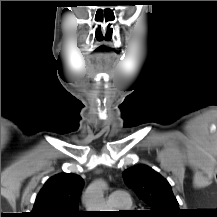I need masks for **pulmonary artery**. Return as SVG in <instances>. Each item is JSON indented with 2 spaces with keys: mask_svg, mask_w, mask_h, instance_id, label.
Listing matches in <instances>:
<instances>
[{
  "mask_svg": "<svg viewBox=\"0 0 217 217\" xmlns=\"http://www.w3.org/2000/svg\"><path fill=\"white\" fill-rule=\"evenodd\" d=\"M108 203L116 209H124L131 204V198L125 190H115L108 196Z\"/></svg>",
  "mask_w": 217,
  "mask_h": 217,
  "instance_id": "obj_1",
  "label": "pulmonary artery"
}]
</instances>
